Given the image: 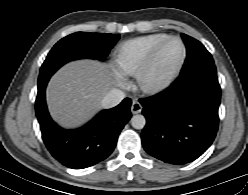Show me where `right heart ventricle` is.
Wrapping results in <instances>:
<instances>
[{
  "label": "right heart ventricle",
  "instance_id": "obj_1",
  "mask_svg": "<svg viewBox=\"0 0 248 195\" xmlns=\"http://www.w3.org/2000/svg\"><path fill=\"white\" fill-rule=\"evenodd\" d=\"M168 37L165 33H154L122 44L115 57L118 72L135 76L146 65L155 48Z\"/></svg>",
  "mask_w": 248,
  "mask_h": 195
}]
</instances>
